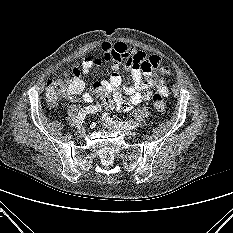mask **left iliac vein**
<instances>
[{"label": "left iliac vein", "mask_w": 233, "mask_h": 233, "mask_svg": "<svg viewBox=\"0 0 233 233\" xmlns=\"http://www.w3.org/2000/svg\"><path fill=\"white\" fill-rule=\"evenodd\" d=\"M102 124L106 128L114 129V130L119 131L121 133H124V134H126L128 136H135L136 135V132L133 129H130V128H124V127L119 126V125L110 124V123L106 122L105 120H102Z\"/></svg>", "instance_id": "4c4485c4"}]
</instances>
